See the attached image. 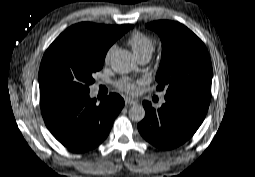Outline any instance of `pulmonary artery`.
Returning <instances> with one entry per match:
<instances>
[{"instance_id":"e3ab8cb5","label":"pulmonary artery","mask_w":255,"mask_h":177,"mask_svg":"<svg viewBox=\"0 0 255 177\" xmlns=\"http://www.w3.org/2000/svg\"><path fill=\"white\" fill-rule=\"evenodd\" d=\"M150 57H151L150 55H145V56L141 57L139 59V61H140L141 64H146L150 60Z\"/></svg>"}]
</instances>
